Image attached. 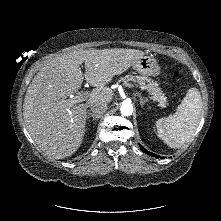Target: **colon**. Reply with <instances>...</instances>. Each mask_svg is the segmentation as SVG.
Here are the masks:
<instances>
[{
	"mask_svg": "<svg viewBox=\"0 0 221 221\" xmlns=\"http://www.w3.org/2000/svg\"><path fill=\"white\" fill-rule=\"evenodd\" d=\"M173 76H174V78H178V76H179L178 72H174Z\"/></svg>",
	"mask_w": 221,
	"mask_h": 221,
	"instance_id": "obj_1",
	"label": "colon"
}]
</instances>
